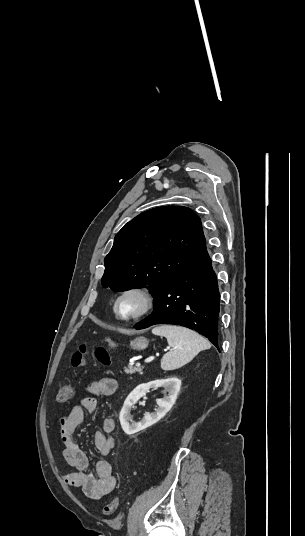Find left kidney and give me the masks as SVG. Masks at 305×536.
Returning a JSON list of instances; mask_svg holds the SVG:
<instances>
[{"label": "left kidney", "mask_w": 305, "mask_h": 536, "mask_svg": "<svg viewBox=\"0 0 305 536\" xmlns=\"http://www.w3.org/2000/svg\"><path fill=\"white\" fill-rule=\"evenodd\" d=\"M180 386L181 380H178L176 376L167 378V380H154V382H148V384H140V386H137V388H135V390H133V392L127 396L120 412L119 420L121 428L124 430L125 434H128V436H131V434H137V432H140V430H145V428H149V426L156 424V422H159L161 418H164L167 412L171 410L173 404H175ZM149 388H165L168 394L167 396H164V398L156 400L158 408L155 410V412H152V414H146L141 422H131V424H129L130 420H132L130 412L132 408H134V404H136V402H138L142 396H145Z\"/></svg>", "instance_id": "obj_1"}]
</instances>
